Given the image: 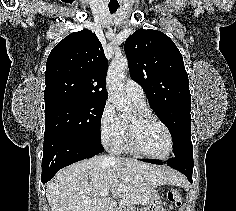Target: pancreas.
Instances as JSON below:
<instances>
[{
  "instance_id": "1",
  "label": "pancreas",
  "mask_w": 236,
  "mask_h": 211,
  "mask_svg": "<svg viewBox=\"0 0 236 211\" xmlns=\"http://www.w3.org/2000/svg\"><path fill=\"white\" fill-rule=\"evenodd\" d=\"M123 208V209H122ZM116 211H134V210H132V209H129V208H125L123 205H121L119 208H118V210H116Z\"/></svg>"
}]
</instances>
